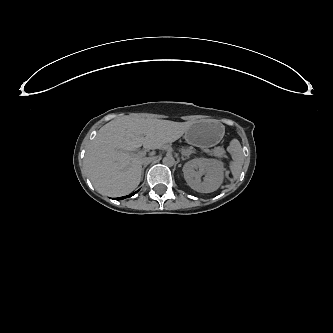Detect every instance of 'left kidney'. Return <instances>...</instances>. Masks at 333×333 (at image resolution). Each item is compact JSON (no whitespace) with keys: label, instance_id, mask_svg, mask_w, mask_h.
Returning a JSON list of instances; mask_svg holds the SVG:
<instances>
[{"label":"left kidney","instance_id":"5707ae66","mask_svg":"<svg viewBox=\"0 0 333 333\" xmlns=\"http://www.w3.org/2000/svg\"><path fill=\"white\" fill-rule=\"evenodd\" d=\"M183 174L193 190L210 193L216 191L223 183L224 166L222 161L214 158H194L184 164Z\"/></svg>","mask_w":333,"mask_h":333}]
</instances>
